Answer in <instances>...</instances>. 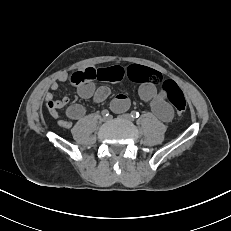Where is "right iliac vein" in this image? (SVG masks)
<instances>
[{
	"label": "right iliac vein",
	"instance_id": "1",
	"mask_svg": "<svg viewBox=\"0 0 231 231\" xmlns=\"http://www.w3.org/2000/svg\"><path fill=\"white\" fill-rule=\"evenodd\" d=\"M106 120H107V118H105V117L102 118V121H106Z\"/></svg>",
	"mask_w": 231,
	"mask_h": 231
}]
</instances>
